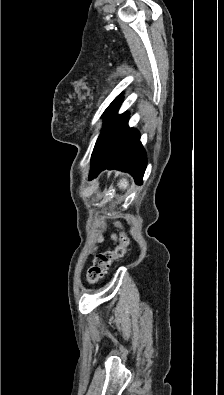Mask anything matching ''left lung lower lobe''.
I'll use <instances>...</instances> for the list:
<instances>
[{"instance_id": "obj_1", "label": "left lung lower lobe", "mask_w": 224, "mask_h": 395, "mask_svg": "<svg viewBox=\"0 0 224 395\" xmlns=\"http://www.w3.org/2000/svg\"><path fill=\"white\" fill-rule=\"evenodd\" d=\"M122 96H118L106 110L103 130L91 158L90 179L104 169L129 172L141 183L146 169V153L137 130L128 127V114L117 115Z\"/></svg>"}]
</instances>
